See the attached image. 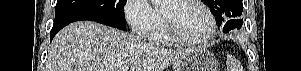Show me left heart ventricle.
Wrapping results in <instances>:
<instances>
[{"label": "left heart ventricle", "instance_id": "1", "mask_svg": "<svg viewBox=\"0 0 301 71\" xmlns=\"http://www.w3.org/2000/svg\"><path fill=\"white\" fill-rule=\"evenodd\" d=\"M161 10L185 38L199 40L209 32L208 17L203 9L193 3L165 1Z\"/></svg>", "mask_w": 301, "mask_h": 71}]
</instances>
